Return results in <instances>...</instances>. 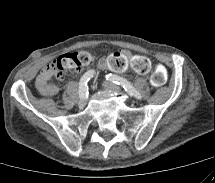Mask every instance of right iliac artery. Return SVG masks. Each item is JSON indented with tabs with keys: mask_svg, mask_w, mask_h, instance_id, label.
<instances>
[{
	"mask_svg": "<svg viewBox=\"0 0 215 183\" xmlns=\"http://www.w3.org/2000/svg\"><path fill=\"white\" fill-rule=\"evenodd\" d=\"M94 70L87 71L80 79L79 82V96L80 98L86 97L88 95L87 82L95 75Z\"/></svg>",
	"mask_w": 215,
	"mask_h": 183,
	"instance_id": "82829eb1",
	"label": "right iliac artery"
}]
</instances>
